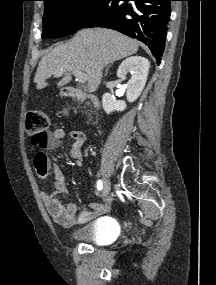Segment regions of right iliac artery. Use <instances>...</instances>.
<instances>
[{
	"label": "right iliac artery",
	"instance_id": "obj_1",
	"mask_svg": "<svg viewBox=\"0 0 216 285\" xmlns=\"http://www.w3.org/2000/svg\"><path fill=\"white\" fill-rule=\"evenodd\" d=\"M102 188H103V183H102L101 180H98V182H97V189H98L99 191H101Z\"/></svg>",
	"mask_w": 216,
	"mask_h": 285
}]
</instances>
